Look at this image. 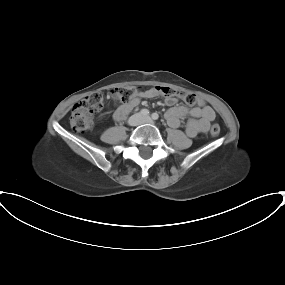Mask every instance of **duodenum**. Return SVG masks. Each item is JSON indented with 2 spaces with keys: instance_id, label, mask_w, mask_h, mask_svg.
Wrapping results in <instances>:
<instances>
[{
  "instance_id": "1",
  "label": "duodenum",
  "mask_w": 285,
  "mask_h": 285,
  "mask_svg": "<svg viewBox=\"0 0 285 285\" xmlns=\"http://www.w3.org/2000/svg\"><path fill=\"white\" fill-rule=\"evenodd\" d=\"M131 106L132 105L129 103L122 109V111H121L122 117H124L126 115V113H128L130 111Z\"/></svg>"
}]
</instances>
